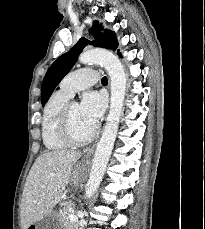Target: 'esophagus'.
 <instances>
[{"mask_svg":"<svg viewBox=\"0 0 205 229\" xmlns=\"http://www.w3.org/2000/svg\"><path fill=\"white\" fill-rule=\"evenodd\" d=\"M94 148H95V144H93L92 146H90V147H88V148H86L84 150V153H85V157L86 158H89L92 155V153L94 151Z\"/></svg>","mask_w":205,"mask_h":229,"instance_id":"esophagus-1","label":"esophagus"}]
</instances>
